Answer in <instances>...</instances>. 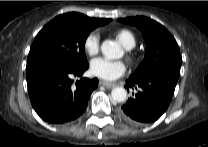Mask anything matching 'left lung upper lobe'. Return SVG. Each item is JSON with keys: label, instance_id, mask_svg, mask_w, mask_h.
<instances>
[{"label": "left lung upper lobe", "instance_id": "left-lung-upper-lobe-1", "mask_svg": "<svg viewBox=\"0 0 208 147\" xmlns=\"http://www.w3.org/2000/svg\"><path fill=\"white\" fill-rule=\"evenodd\" d=\"M120 22L136 26L143 34L146 43L144 60L138 66L132 78L164 72L179 78L182 58L174 37L158 22L144 17H128Z\"/></svg>", "mask_w": 208, "mask_h": 147}]
</instances>
